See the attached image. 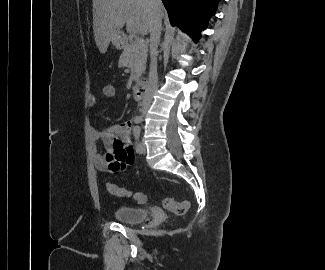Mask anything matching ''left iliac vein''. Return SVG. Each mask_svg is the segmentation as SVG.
Returning a JSON list of instances; mask_svg holds the SVG:
<instances>
[{"instance_id":"4c4485c4","label":"left iliac vein","mask_w":325,"mask_h":270,"mask_svg":"<svg viewBox=\"0 0 325 270\" xmlns=\"http://www.w3.org/2000/svg\"><path fill=\"white\" fill-rule=\"evenodd\" d=\"M139 154H145L146 153V145L141 142L140 143V150L138 151Z\"/></svg>"}]
</instances>
